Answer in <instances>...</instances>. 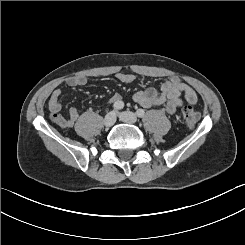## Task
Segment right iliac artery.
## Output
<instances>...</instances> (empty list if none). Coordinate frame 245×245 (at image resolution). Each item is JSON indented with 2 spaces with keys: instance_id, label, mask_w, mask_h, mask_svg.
Returning a JSON list of instances; mask_svg holds the SVG:
<instances>
[{
  "instance_id": "1",
  "label": "right iliac artery",
  "mask_w": 245,
  "mask_h": 245,
  "mask_svg": "<svg viewBox=\"0 0 245 245\" xmlns=\"http://www.w3.org/2000/svg\"><path fill=\"white\" fill-rule=\"evenodd\" d=\"M115 110H121L124 107V103L122 101H117L113 104Z\"/></svg>"
}]
</instances>
